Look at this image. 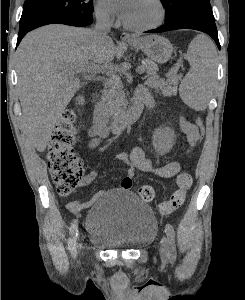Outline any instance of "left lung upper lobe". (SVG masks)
Segmentation results:
<instances>
[{"label":"left lung upper lobe","instance_id":"5c2ea615","mask_svg":"<svg viewBox=\"0 0 245 300\" xmlns=\"http://www.w3.org/2000/svg\"><path fill=\"white\" fill-rule=\"evenodd\" d=\"M166 10L165 22L182 14H194L215 20L209 0H160Z\"/></svg>","mask_w":245,"mask_h":300}]
</instances>
